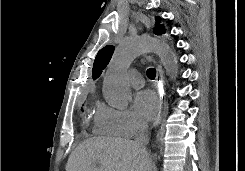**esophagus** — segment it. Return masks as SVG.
<instances>
[{
	"label": "esophagus",
	"mask_w": 245,
	"mask_h": 171,
	"mask_svg": "<svg viewBox=\"0 0 245 171\" xmlns=\"http://www.w3.org/2000/svg\"><path fill=\"white\" fill-rule=\"evenodd\" d=\"M155 87L158 94V100H159V110L155 118L154 127H157L162 118V112L164 107H166L167 104V94L166 89L164 85V77H163V70L160 65L157 66V75L155 80Z\"/></svg>",
	"instance_id": "esophagus-1"
}]
</instances>
